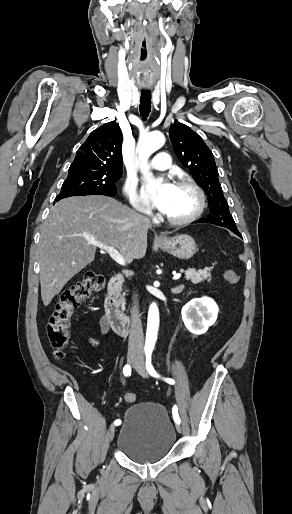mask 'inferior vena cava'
<instances>
[{"label":"inferior vena cava","instance_id":"1","mask_svg":"<svg viewBox=\"0 0 292 514\" xmlns=\"http://www.w3.org/2000/svg\"><path fill=\"white\" fill-rule=\"evenodd\" d=\"M145 220L147 224H150L149 218H145ZM133 300L134 306L133 310H131L132 316L128 342V352H133V354H140V356H144V334L139 316L137 294H135Z\"/></svg>","mask_w":292,"mask_h":514}]
</instances>
